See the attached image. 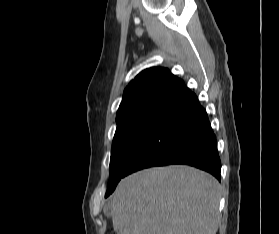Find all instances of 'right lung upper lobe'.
I'll return each mask as SVG.
<instances>
[{
	"label": "right lung upper lobe",
	"instance_id": "obj_1",
	"mask_svg": "<svg viewBox=\"0 0 279 234\" xmlns=\"http://www.w3.org/2000/svg\"><path fill=\"white\" fill-rule=\"evenodd\" d=\"M189 92L183 80L167 68H149L126 87L117 116L150 107H172Z\"/></svg>",
	"mask_w": 279,
	"mask_h": 234
}]
</instances>
